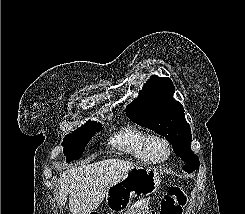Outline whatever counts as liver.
Here are the masks:
<instances>
[{
    "label": "liver",
    "instance_id": "6515ba94",
    "mask_svg": "<svg viewBox=\"0 0 245 214\" xmlns=\"http://www.w3.org/2000/svg\"><path fill=\"white\" fill-rule=\"evenodd\" d=\"M134 167L129 161L106 159L68 169L60 175L57 203L64 206L69 195L72 214H90L104 201L108 189Z\"/></svg>",
    "mask_w": 245,
    "mask_h": 214
}]
</instances>
